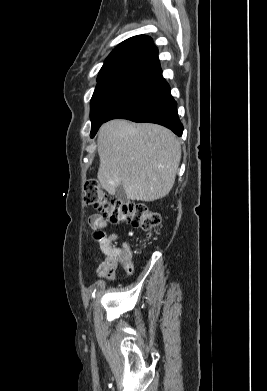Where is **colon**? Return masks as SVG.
Instances as JSON below:
<instances>
[{
	"label": "colon",
	"instance_id": "1",
	"mask_svg": "<svg viewBox=\"0 0 267 391\" xmlns=\"http://www.w3.org/2000/svg\"><path fill=\"white\" fill-rule=\"evenodd\" d=\"M83 201L86 206L97 209L110 223H127L140 231L150 234L160 226V216L143 203H124L108 196L103 187L95 180L84 185ZM101 233L96 234L100 239ZM120 266L131 268V255L124 252L118 257Z\"/></svg>",
	"mask_w": 267,
	"mask_h": 391
}]
</instances>
